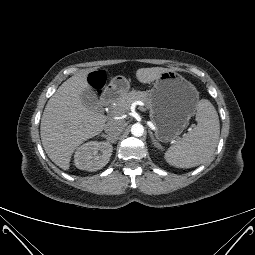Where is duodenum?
<instances>
[{
  "label": "duodenum",
  "instance_id": "1",
  "mask_svg": "<svg viewBox=\"0 0 255 255\" xmlns=\"http://www.w3.org/2000/svg\"><path fill=\"white\" fill-rule=\"evenodd\" d=\"M120 89L121 87L117 84H113L109 88L105 89L100 96L101 104H109L117 96Z\"/></svg>",
  "mask_w": 255,
  "mask_h": 255
}]
</instances>
